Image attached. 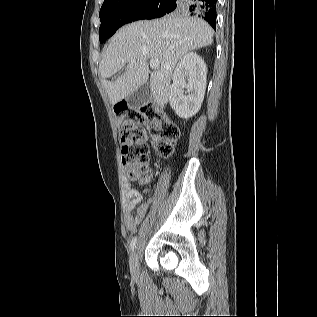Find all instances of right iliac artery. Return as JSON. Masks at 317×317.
Masks as SVG:
<instances>
[{"label":"right iliac artery","instance_id":"1","mask_svg":"<svg viewBox=\"0 0 317 317\" xmlns=\"http://www.w3.org/2000/svg\"><path fill=\"white\" fill-rule=\"evenodd\" d=\"M136 242H137V238L134 237V238L132 239L131 243H130V249H131L132 251H134V249H135V247H136Z\"/></svg>","mask_w":317,"mask_h":317}]
</instances>
